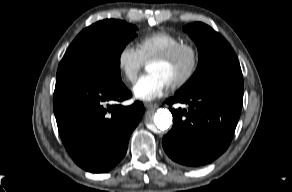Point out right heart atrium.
Here are the masks:
<instances>
[{
  "label": "right heart atrium",
  "mask_w": 292,
  "mask_h": 192,
  "mask_svg": "<svg viewBox=\"0 0 292 192\" xmlns=\"http://www.w3.org/2000/svg\"><path fill=\"white\" fill-rule=\"evenodd\" d=\"M144 65L137 48L131 44H125L121 47L117 54V66L122 76L128 82H134Z\"/></svg>",
  "instance_id": "d8ad5b80"
}]
</instances>
